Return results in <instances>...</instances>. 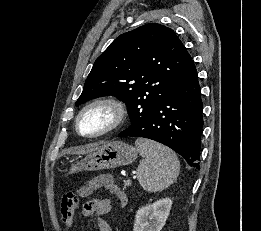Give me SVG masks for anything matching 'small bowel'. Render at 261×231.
<instances>
[{
    "instance_id": "1",
    "label": "small bowel",
    "mask_w": 261,
    "mask_h": 231,
    "mask_svg": "<svg viewBox=\"0 0 261 231\" xmlns=\"http://www.w3.org/2000/svg\"><path fill=\"white\" fill-rule=\"evenodd\" d=\"M91 183L96 185V189L98 188H107L111 192H113L121 201H124V194L117 188H111L110 183H113V179L110 175L103 174L93 178ZM81 197H86L89 194H84L82 192V188L78 190ZM111 201L108 198H94L86 201L81 209V215L84 218H89L90 216H95L97 220V225L99 231H113L110 225L103 218L111 211ZM66 225L67 231L72 226V221H64Z\"/></svg>"
}]
</instances>
